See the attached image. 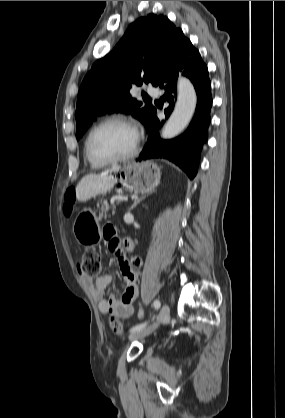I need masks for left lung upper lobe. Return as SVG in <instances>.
<instances>
[{"mask_svg":"<svg viewBox=\"0 0 285 418\" xmlns=\"http://www.w3.org/2000/svg\"><path fill=\"white\" fill-rule=\"evenodd\" d=\"M166 16L149 14L129 25L122 39L105 57L96 61L85 76L77 98L76 138L80 139L94 120L112 112L131 113L148 130L156 111L142 106L130 95L134 86L152 83L160 77L184 38Z\"/></svg>","mask_w":285,"mask_h":418,"instance_id":"1","label":"left lung upper lobe"}]
</instances>
